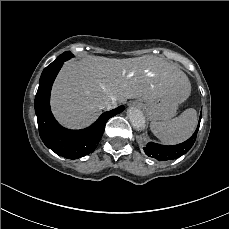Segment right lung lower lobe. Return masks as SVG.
Returning a JSON list of instances; mask_svg holds the SVG:
<instances>
[{"label":"right lung lower lobe","mask_w":229,"mask_h":229,"mask_svg":"<svg viewBox=\"0 0 229 229\" xmlns=\"http://www.w3.org/2000/svg\"><path fill=\"white\" fill-rule=\"evenodd\" d=\"M65 61L62 58L43 70L35 97V112L39 135L43 143L57 155L76 159L95 150L108 119L122 112L125 107L119 106L103 113L94 124L83 130H69L62 127L51 113L50 92L55 77Z\"/></svg>","instance_id":"98d812e1"}]
</instances>
